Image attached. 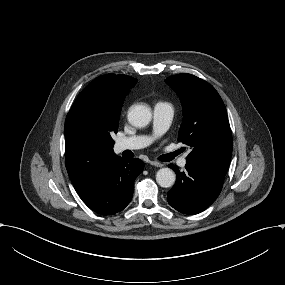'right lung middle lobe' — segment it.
I'll list each match as a JSON object with an SVG mask.
<instances>
[{"instance_id": "dd1d6c3e", "label": "right lung middle lobe", "mask_w": 285, "mask_h": 285, "mask_svg": "<svg viewBox=\"0 0 285 285\" xmlns=\"http://www.w3.org/2000/svg\"><path fill=\"white\" fill-rule=\"evenodd\" d=\"M119 120L109 121L101 126H85L74 113L69 111L65 122V138L80 142L102 140L114 144L111 133H117Z\"/></svg>"}]
</instances>
